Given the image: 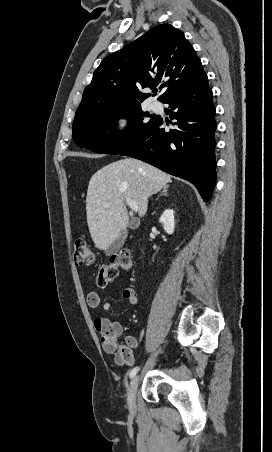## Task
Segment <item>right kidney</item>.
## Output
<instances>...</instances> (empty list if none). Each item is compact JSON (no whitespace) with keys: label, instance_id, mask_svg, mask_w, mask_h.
<instances>
[{"label":"right kidney","instance_id":"ca27d5eb","mask_svg":"<svg viewBox=\"0 0 272 452\" xmlns=\"http://www.w3.org/2000/svg\"><path fill=\"white\" fill-rule=\"evenodd\" d=\"M159 222L163 225L167 234L171 235L175 229L174 211L172 209H166L160 216Z\"/></svg>","mask_w":272,"mask_h":452}]
</instances>
